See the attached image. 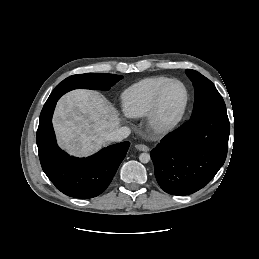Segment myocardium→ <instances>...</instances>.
Listing matches in <instances>:
<instances>
[{
  "mask_svg": "<svg viewBox=\"0 0 259 259\" xmlns=\"http://www.w3.org/2000/svg\"><path fill=\"white\" fill-rule=\"evenodd\" d=\"M172 83L180 84L185 92L184 102L179 112L170 120L161 118V100L165 89ZM190 101V94L185 83L179 79L172 78L164 82L156 91L152 107L147 115L148 126L155 134H167L173 131L183 120Z\"/></svg>",
  "mask_w": 259,
  "mask_h": 259,
  "instance_id": "obj_1",
  "label": "myocardium"
}]
</instances>
